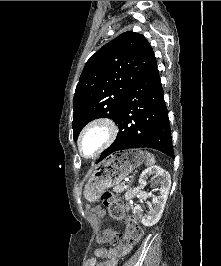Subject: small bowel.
<instances>
[{
  "instance_id": "obj_1",
  "label": "small bowel",
  "mask_w": 221,
  "mask_h": 266,
  "mask_svg": "<svg viewBox=\"0 0 221 266\" xmlns=\"http://www.w3.org/2000/svg\"><path fill=\"white\" fill-rule=\"evenodd\" d=\"M96 210L101 212L99 207ZM132 245L131 243H125L112 248H98L94 256L86 261L85 266H116L121 258L130 253Z\"/></svg>"
}]
</instances>
